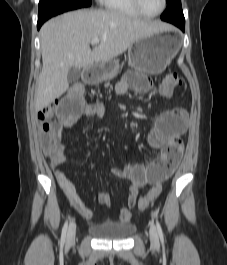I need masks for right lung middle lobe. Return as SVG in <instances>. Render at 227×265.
Here are the masks:
<instances>
[{
    "instance_id": "obj_1",
    "label": "right lung middle lobe",
    "mask_w": 227,
    "mask_h": 265,
    "mask_svg": "<svg viewBox=\"0 0 227 265\" xmlns=\"http://www.w3.org/2000/svg\"><path fill=\"white\" fill-rule=\"evenodd\" d=\"M90 5L91 0H40L38 22L44 23L57 14Z\"/></svg>"
}]
</instances>
